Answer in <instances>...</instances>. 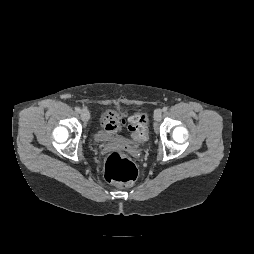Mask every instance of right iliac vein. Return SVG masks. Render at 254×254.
<instances>
[{
    "instance_id": "1",
    "label": "right iliac vein",
    "mask_w": 254,
    "mask_h": 254,
    "mask_svg": "<svg viewBox=\"0 0 254 254\" xmlns=\"http://www.w3.org/2000/svg\"><path fill=\"white\" fill-rule=\"evenodd\" d=\"M81 118L84 122H87L90 118V114L87 109H82L81 111Z\"/></svg>"
}]
</instances>
